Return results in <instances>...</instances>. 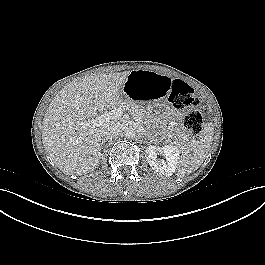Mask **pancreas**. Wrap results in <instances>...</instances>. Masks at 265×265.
<instances>
[{"label": "pancreas", "instance_id": "pancreas-1", "mask_svg": "<svg viewBox=\"0 0 265 265\" xmlns=\"http://www.w3.org/2000/svg\"><path fill=\"white\" fill-rule=\"evenodd\" d=\"M116 108L121 107L124 111H129L130 113H134L135 117L139 122L145 117V109L137 105L133 100L130 98L120 99L114 105ZM147 134L151 136V132L148 131Z\"/></svg>", "mask_w": 265, "mask_h": 265}]
</instances>
